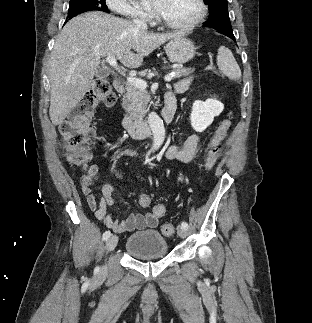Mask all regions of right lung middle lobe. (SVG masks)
<instances>
[{
    "label": "right lung middle lobe",
    "instance_id": "obj_1",
    "mask_svg": "<svg viewBox=\"0 0 312 323\" xmlns=\"http://www.w3.org/2000/svg\"><path fill=\"white\" fill-rule=\"evenodd\" d=\"M92 10L109 12L105 5V0H71L67 19H71L80 13Z\"/></svg>",
    "mask_w": 312,
    "mask_h": 323
}]
</instances>
